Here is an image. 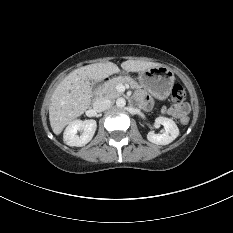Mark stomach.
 Returning <instances> with one entry per match:
<instances>
[{"mask_svg":"<svg viewBox=\"0 0 233 233\" xmlns=\"http://www.w3.org/2000/svg\"><path fill=\"white\" fill-rule=\"evenodd\" d=\"M174 80L173 71L165 66L152 67L139 74L141 86L159 100L170 95Z\"/></svg>","mask_w":233,"mask_h":233,"instance_id":"0dacf381","label":"stomach"}]
</instances>
